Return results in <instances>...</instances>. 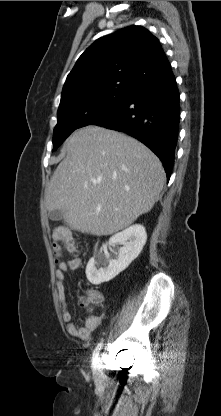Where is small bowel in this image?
Instances as JSON below:
<instances>
[{
	"instance_id": "c3829d8e",
	"label": "small bowel",
	"mask_w": 221,
	"mask_h": 416,
	"mask_svg": "<svg viewBox=\"0 0 221 416\" xmlns=\"http://www.w3.org/2000/svg\"><path fill=\"white\" fill-rule=\"evenodd\" d=\"M82 260L81 258L77 257L71 259L69 261H60L58 263V268L56 270V289L58 293V299L62 309V319L66 324L67 331L70 336L79 338L82 340H89L92 333L97 330L101 323V318L95 315L88 316L85 320L80 324H76L72 320V315L68 310L67 298H66V288H65V279L66 274L69 271L77 270L81 267ZM102 299L101 294L95 293Z\"/></svg>"
}]
</instances>
